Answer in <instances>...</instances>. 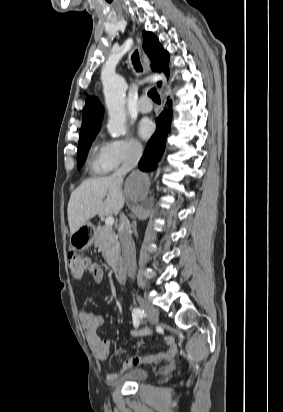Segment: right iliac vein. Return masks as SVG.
<instances>
[{"instance_id":"63e3f726","label":"right iliac vein","mask_w":283,"mask_h":412,"mask_svg":"<svg viewBox=\"0 0 283 412\" xmlns=\"http://www.w3.org/2000/svg\"><path fill=\"white\" fill-rule=\"evenodd\" d=\"M137 300H138L140 306H141V307L144 309V311L146 312L150 323H151L152 325L158 324L159 315H158L157 310H156L153 306L147 304L140 296H137Z\"/></svg>"}]
</instances>
